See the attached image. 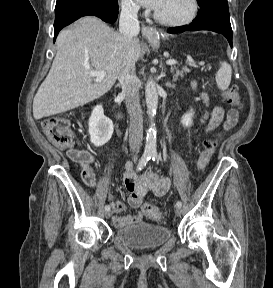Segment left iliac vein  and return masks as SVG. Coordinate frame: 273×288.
<instances>
[{
	"instance_id": "4c4485c4",
	"label": "left iliac vein",
	"mask_w": 273,
	"mask_h": 288,
	"mask_svg": "<svg viewBox=\"0 0 273 288\" xmlns=\"http://www.w3.org/2000/svg\"><path fill=\"white\" fill-rule=\"evenodd\" d=\"M175 214L177 216H181L183 214V210L181 207H177L176 210H175Z\"/></svg>"
}]
</instances>
